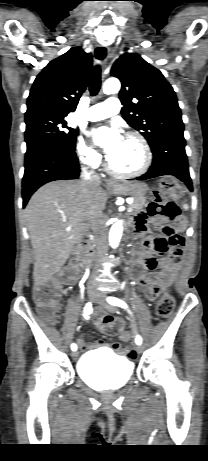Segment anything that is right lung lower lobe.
<instances>
[{
	"instance_id": "98d812e1",
	"label": "right lung lower lobe",
	"mask_w": 208,
	"mask_h": 461,
	"mask_svg": "<svg viewBox=\"0 0 208 461\" xmlns=\"http://www.w3.org/2000/svg\"><path fill=\"white\" fill-rule=\"evenodd\" d=\"M79 162L74 151L56 146L43 145L25 156L22 181V198L25 206L31 195L50 181L76 179Z\"/></svg>"
}]
</instances>
